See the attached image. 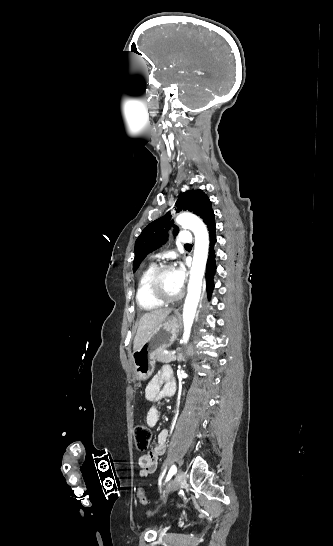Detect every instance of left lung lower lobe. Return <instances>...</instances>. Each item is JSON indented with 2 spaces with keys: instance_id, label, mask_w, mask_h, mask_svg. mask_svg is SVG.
<instances>
[{
  "instance_id": "left-lung-lower-lobe-1",
  "label": "left lung lower lobe",
  "mask_w": 333,
  "mask_h": 546,
  "mask_svg": "<svg viewBox=\"0 0 333 546\" xmlns=\"http://www.w3.org/2000/svg\"><path fill=\"white\" fill-rule=\"evenodd\" d=\"M208 236H209V255L207 259V265H206V287H207V295L210 299L211 293L214 288V275L216 272V264H215V251L213 249L215 243H216V227H215V216L213 215L209 221L206 224Z\"/></svg>"
}]
</instances>
